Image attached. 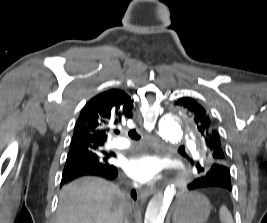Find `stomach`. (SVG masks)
<instances>
[{"label": "stomach", "mask_w": 267, "mask_h": 223, "mask_svg": "<svg viewBox=\"0 0 267 223\" xmlns=\"http://www.w3.org/2000/svg\"><path fill=\"white\" fill-rule=\"evenodd\" d=\"M209 200L199 192H189L180 196L174 211L173 223H206L210 215Z\"/></svg>", "instance_id": "0dacf381"}]
</instances>
